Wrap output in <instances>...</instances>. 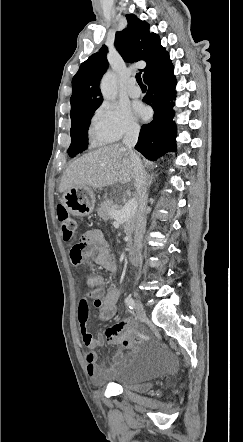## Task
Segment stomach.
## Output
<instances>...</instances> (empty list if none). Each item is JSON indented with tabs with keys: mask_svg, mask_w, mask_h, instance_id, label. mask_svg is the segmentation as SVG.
<instances>
[{
	"mask_svg": "<svg viewBox=\"0 0 243 442\" xmlns=\"http://www.w3.org/2000/svg\"><path fill=\"white\" fill-rule=\"evenodd\" d=\"M66 210L79 217L89 216L95 206V195L89 187H72L62 195Z\"/></svg>",
	"mask_w": 243,
	"mask_h": 442,
	"instance_id": "0dacf381",
	"label": "stomach"
}]
</instances>
